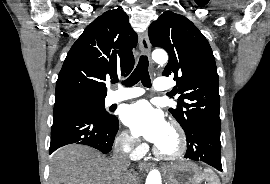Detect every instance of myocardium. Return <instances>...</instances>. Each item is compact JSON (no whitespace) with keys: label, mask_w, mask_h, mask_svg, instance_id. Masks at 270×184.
Masks as SVG:
<instances>
[{"label":"myocardium","mask_w":270,"mask_h":184,"mask_svg":"<svg viewBox=\"0 0 270 184\" xmlns=\"http://www.w3.org/2000/svg\"><path fill=\"white\" fill-rule=\"evenodd\" d=\"M169 128L172 130L176 137V148L174 149V151L166 153L160 150L158 146H155L154 154L162 160L175 161L180 159L186 151V135L182 127L175 121H172L170 123Z\"/></svg>","instance_id":"f54148a6"}]
</instances>
